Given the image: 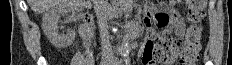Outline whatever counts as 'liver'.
<instances>
[{"label": "liver", "instance_id": "obj_1", "mask_svg": "<svg viewBox=\"0 0 232 65\" xmlns=\"http://www.w3.org/2000/svg\"><path fill=\"white\" fill-rule=\"evenodd\" d=\"M59 2L61 0H28V4L35 13H44Z\"/></svg>", "mask_w": 232, "mask_h": 65}]
</instances>
